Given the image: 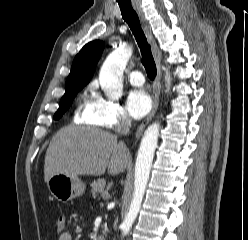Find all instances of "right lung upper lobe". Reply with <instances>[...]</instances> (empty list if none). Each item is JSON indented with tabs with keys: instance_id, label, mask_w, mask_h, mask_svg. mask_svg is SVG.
<instances>
[{
	"instance_id": "cb5924a9",
	"label": "right lung upper lobe",
	"mask_w": 248,
	"mask_h": 240,
	"mask_svg": "<svg viewBox=\"0 0 248 240\" xmlns=\"http://www.w3.org/2000/svg\"><path fill=\"white\" fill-rule=\"evenodd\" d=\"M103 49L104 42L99 40L86 44L76 55L66 83L78 81L85 86L94 74Z\"/></svg>"
}]
</instances>
